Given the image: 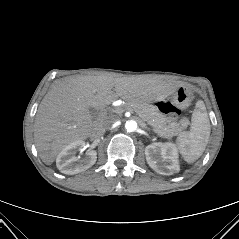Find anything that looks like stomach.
<instances>
[{"label":"stomach","instance_id":"0dacf381","mask_svg":"<svg viewBox=\"0 0 239 239\" xmlns=\"http://www.w3.org/2000/svg\"><path fill=\"white\" fill-rule=\"evenodd\" d=\"M153 101L160 106V115L165 121L180 123L187 116L186 105L190 101V91L188 87L180 85L172 94V99L157 98Z\"/></svg>","mask_w":239,"mask_h":239}]
</instances>
